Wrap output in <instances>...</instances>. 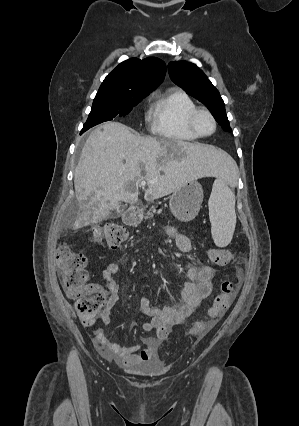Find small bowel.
Listing matches in <instances>:
<instances>
[{
	"mask_svg": "<svg viewBox=\"0 0 299 426\" xmlns=\"http://www.w3.org/2000/svg\"><path fill=\"white\" fill-rule=\"evenodd\" d=\"M165 234L172 238L179 251L188 256L191 252L190 240L179 233L173 226L165 227ZM119 267L115 263H109L101 269L102 277L107 281V302L100 314L102 323L110 325V310L119 300V283L117 275ZM186 281L180 293L179 301L170 307H157L151 304L147 297L140 299L141 311L150 317V320L142 325L146 332L155 331L154 336L142 339V345L121 346L111 343L104 336L103 331H96V339L100 354L109 360H113L120 366L128 368L140 362L158 360V350L167 339L169 330L189 317L206 299L212 291V280L215 275L214 269L203 263H184Z\"/></svg>",
	"mask_w": 299,
	"mask_h": 426,
	"instance_id": "obj_1",
	"label": "small bowel"
}]
</instances>
